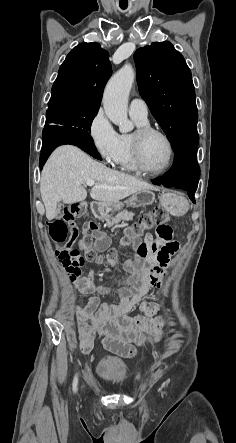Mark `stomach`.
<instances>
[{"label": "stomach", "mask_w": 236, "mask_h": 443, "mask_svg": "<svg viewBox=\"0 0 236 443\" xmlns=\"http://www.w3.org/2000/svg\"><path fill=\"white\" fill-rule=\"evenodd\" d=\"M154 200L155 194L151 190H142L133 194L126 202H116L110 205L101 204L99 205L98 210L102 215L108 216L109 212L114 213L120 211L125 203L127 206L137 208L151 205ZM160 200L162 205L173 215H182L188 208L187 200L175 193H164Z\"/></svg>", "instance_id": "stomach-1"}]
</instances>
